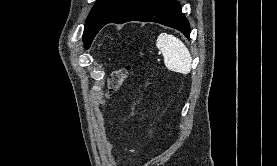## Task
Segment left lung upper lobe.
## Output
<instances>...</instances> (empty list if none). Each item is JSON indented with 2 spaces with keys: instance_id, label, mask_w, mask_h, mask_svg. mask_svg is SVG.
I'll list each match as a JSON object with an SVG mask.
<instances>
[{
  "instance_id": "obj_1",
  "label": "left lung upper lobe",
  "mask_w": 277,
  "mask_h": 166,
  "mask_svg": "<svg viewBox=\"0 0 277 166\" xmlns=\"http://www.w3.org/2000/svg\"><path fill=\"white\" fill-rule=\"evenodd\" d=\"M135 0H98L86 20L83 40L89 48L99 30L116 14Z\"/></svg>"
}]
</instances>
